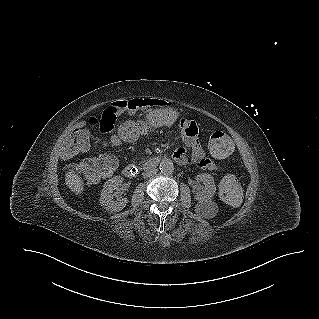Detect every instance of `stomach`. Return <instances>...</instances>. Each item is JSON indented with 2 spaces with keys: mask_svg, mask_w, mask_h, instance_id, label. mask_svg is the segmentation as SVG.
<instances>
[{
  "mask_svg": "<svg viewBox=\"0 0 319 319\" xmlns=\"http://www.w3.org/2000/svg\"><path fill=\"white\" fill-rule=\"evenodd\" d=\"M179 113L170 108H159L148 111L140 123L145 128V133L159 130L163 125L171 126L178 119Z\"/></svg>",
  "mask_w": 319,
  "mask_h": 319,
  "instance_id": "1",
  "label": "stomach"
}]
</instances>
